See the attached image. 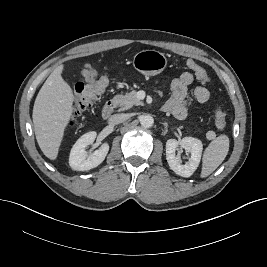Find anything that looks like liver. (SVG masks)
I'll return each instance as SVG.
<instances>
[{
    "instance_id": "6515ba94",
    "label": "liver",
    "mask_w": 267,
    "mask_h": 267,
    "mask_svg": "<svg viewBox=\"0 0 267 267\" xmlns=\"http://www.w3.org/2000/svg\"><path fill=\"white\" fill-rule=\"evenodd\" d=\"M64 65L53 70L41 87L33 107V124L38 145L44 155L55 160L65 128L73 113L74 95L62 78Z\"/></svg>"
}]
</instances>
